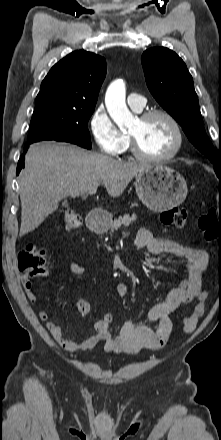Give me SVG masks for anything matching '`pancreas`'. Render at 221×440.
I'll return each instance as SVG.
<instances>
[{
  "label": "pancreas",
  "mask_w": 221,
  "mask_h": 440,
  "mask_svg": "<svg viewBox=\"0 0 221 440\" xmlns=\"http://www.w3.org/2000/svg\"><path fill=\"white\" fill-rule=\"evenodd\" d=\"M136 220V215L133 213L131 216L128 214H125L123 216H120L118 219H114V221H111L109 226L100 231V233L106 232L107 230H110L113 232L114 230H118L121 226L127 227L128 225L132 224Z\"/></svg>",
  "instance_id": "obj_1"
}]
</instances>
